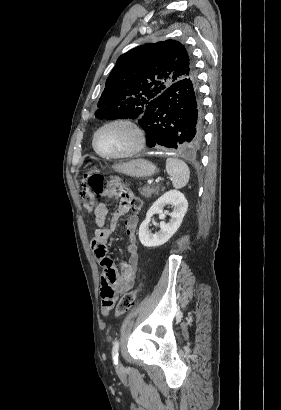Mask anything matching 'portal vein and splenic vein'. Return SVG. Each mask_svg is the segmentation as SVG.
<instances>
[{"mask_svg":"<svg viewBox=\"0 0 281 410\" xmlns=\"http://www.w3.org/2000/svg\"><path fill=\"white\" fill-rule=\"evenodd\" d=\"M152 182H153L152 180H148V184H152Z\"/></svg>","mask_w":281,"mask_h":410,"instance_id":"obj_1","label":"portal vein and splenic vein"}]
</instances>
